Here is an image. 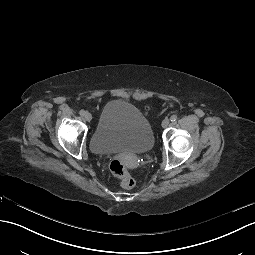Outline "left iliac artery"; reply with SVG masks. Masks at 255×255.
<instances>
[{
	"instance_id": "1",
	"label": "left iliac artery",
	"mask_w": 255,
	"mask_h": 255,
	"mask_svg": "<svg viewBox=\"0 0 255 255\" xmlns=\"http://www.w3.org/2000/svg\"><path fill=\"white\" fill-rule=\"evenodd\" d=\"M170 120L172 121V122H174V121H176L177 120V115H172L171 117H170Z\"/></svg>"
}]
</instances>
